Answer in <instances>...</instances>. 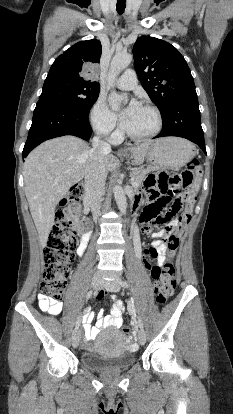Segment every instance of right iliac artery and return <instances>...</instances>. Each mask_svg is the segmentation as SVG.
I'll list each match as a JSON object with an SVG mask.
<instances>
[{
    "label": "right iliac artery",
    "mask_w": 233,
    "mask_h": 414,
    "mask_svg": "<svg viewBox=\"0 0 233 414\" xmlns=\"http://www.w3.org/2000/svg\"><path fill=\"white\" fill-rule=\"evenodd\" d=\"M135 248H136V252H137V253H139V251H140V247L135 246ZM93 293L95 294V292H93V290H90V291L87 293V295H86V300H88L89 298H91V297H92V295H93ZM80 324H81V319H80V318H78V319H77V321H76L75 329H78V328H79V326H80Z\"/></svg>",
    "instance_id": "right-iliac-artery-1"
}]
</instances>
